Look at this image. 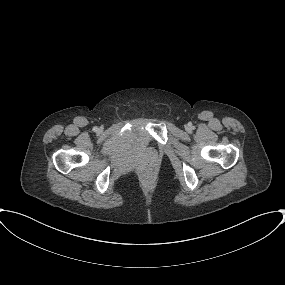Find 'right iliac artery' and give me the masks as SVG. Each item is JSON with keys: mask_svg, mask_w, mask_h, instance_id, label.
Here are the masks:
<instances>
[{"mask_svg": "<svg viewBox=\"0 0 285 285\" xmlns=\"http://www.w3.org/2000/svg\"><path fill=\"white\" fill-rule=\"evenodd\" d=\"M93 131H94V132H97V131H98V128H97V127H93Z\"/></svg>", "mask_w": 285, "mask_h": 285, "instance_id": "1", "label": "right iliac artery"}]
</instances>
